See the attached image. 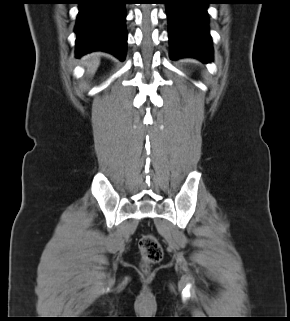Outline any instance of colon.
I'll list each match as a JSON object with an SVG mask.
<instances>
[{"label":"colon","instance_id":"colon-1","mask_svg":"<svg viewBox=\"0 0 290 321\" xmlns=\"http://www.w3.org/2000/svg\"><path fill=\"white\" fill-rule=\"evenodd\" d=\"M144 268L148 265L158 263L163 258V249L159 241L153 235H145L139 242Z\"/></svg>","mask_w":290,"mask_h":321}]
</instances>
